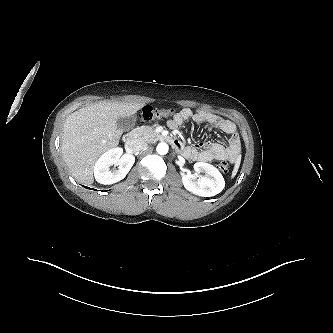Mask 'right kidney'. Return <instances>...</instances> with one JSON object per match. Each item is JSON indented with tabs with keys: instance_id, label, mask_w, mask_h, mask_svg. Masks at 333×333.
<instances>
[{
	"instance_id": "ca27d5eb",
	"label": "right kidney",
	"mask_w": 333,
	"mask_h": 333,
	"mask_svg": "<svg viewBox=\"0 0 333 333\" xmlns=\"http://www.w3.org/2000/svg\"><path fill=\"white\" fill-rule=\"evenodd\" d=\"M135 162L131 154H123L122 148H113L101 155L94 166V176L98 183L109 185L122 179L130 171ZM112 165L119 166L118 169L110 170Z\"/></svg>"
}]
</instances>
